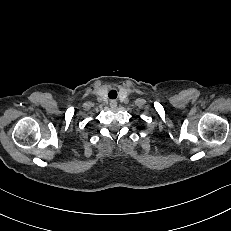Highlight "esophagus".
<instances>
[{"label": "esophagus", "instance_id": "34e87169", "mask_svg": "<svg viewBox=\"0 0 231 231\" xmlns=\"http://www.w3.org/2000/svg\"><path fill=\"white\" fill-rule=\"evenodd\" d=\"M116 105H117V102L115 100L110 101V106L111 107H116Z\"/></svg>", "mask_w": 231, "mask_h": 231}]
</instances>
